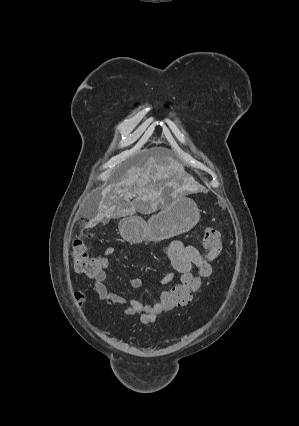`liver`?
Instances as JSON below:
<instances>
[{
    "label": "liver",
    "mask_w": 299,
    "mask_h": 426,
    "mask_svg": "<svg viewBox=\"0 0 299 426\" xmlns=\"http://www.w3.org/2000/svg\"><path fill=\"white\" fill-rule=\"evenodd\" d=\"M174 176H184L182 165L168 150L153 149L142 167L132 166L117 182L102 190L97 214L85 228L95 227L104 218L132 215L137 210L156 211L165 201L164 187L174 184ZM133 196L136 198L131 202Z\"/></svg>",
    "instance_id": "1"
}]
</instances>
